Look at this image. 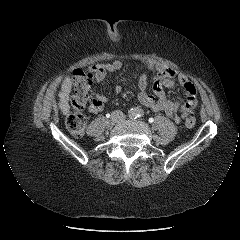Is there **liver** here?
Returning <instances> with one entry per match:
<instances>
[{"mask_svg":"<svg viewBox=\"0 0 240 240\" xmlns=\"http://www.w3.org/2000/svg\"><path fill=\"white\" fill-rule=\"evenodd\" d=\"M71 89H72L71 79L69 77H66L61 85V91L58 94L59 96L58 107L63 113V115H67L70 111L69 98Z\"/></svg>","mask_w":240,"mask_h":240,"instance_id":"obj_1","label":"liver"}]
</instances>
